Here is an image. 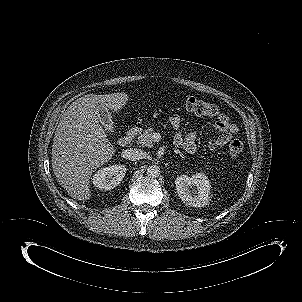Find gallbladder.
Masks as SVG:
<instances>
[{"mask_svg": "<svg viewBox=\"0 0 302 302\" xmlns=\"http://www.w3.org/2000/svg\"><path fill=\"white\" fill-rule=\"evenodd\" d=\"M100 115H101V123L108 131H113V122L111 119L110 112L107 108H100Z\"/></svg>", "mask_w": 302, "mask_h": 302, "instance_id": "bac80fb5", "label": "gallbladder"}]
</instances>
